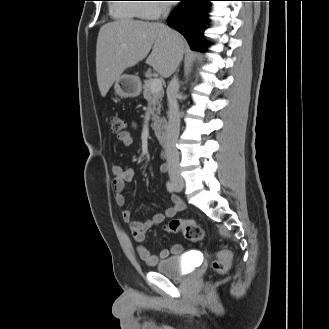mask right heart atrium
Segmentation results:
<instances>
[{
  "mask_svg": "<svg viewBox=\"0 0 329 329\" xmlns=\"http://www.w3.org/2000/svg\"><path fill=\"white\" fill-rule=\"evenodd\" d=\"M147 2H158L154 4H146L144 7L145 19H156L166 11H168V5L166 0H148Z\"/></svg>",
  "mask_w": 329,
  "mask_h": 329,
  "instance_id": "1",
  "label": "right heart atrium"
}]
</instances>
